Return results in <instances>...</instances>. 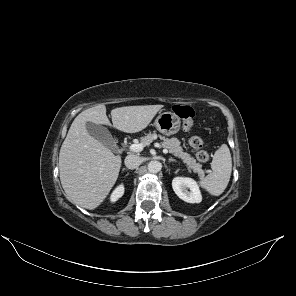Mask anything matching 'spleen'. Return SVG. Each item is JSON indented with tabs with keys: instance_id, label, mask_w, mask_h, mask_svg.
Here are the masks:
<instances>
[{
	"instance_id": "obj_1",
	"label": "spleen",
	"mask_w": 296,
	"mask_h": 296,
	"mask_svg": "<svg viewBox=\"0 0 296 296\" xmlns=\"http://www.w3.org/2000/svg\"><path fill=\"white\" fill-rule=\"evenodd\" d=\"M211 169V173L201 179L200 185L211 195L219 196L226 189L232 172V158L226 144L216 150Z\"/></svg>"
}]
</instances>
